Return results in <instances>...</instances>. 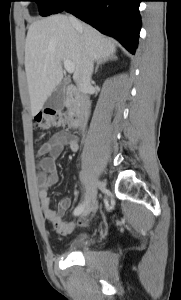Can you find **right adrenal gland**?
I'll return each mask as SVG.
<instances>
[{
	"label": "right adrenal gland",
	"instance_id": "right-adrenal-gland-1",
	"mask_svg": "<svg viewBox=\"0 0 181 300\" xmlns=\"http://www.w3.org/2000/svg\"><path fill=\"white\" fill-rule=\"evenodd\" d=\"M110 59H116V57L112 56V57H110ZM107 60L108 59H103V60H100V61L97 62V65H96V68H95V72H94L95 74L97 73L100 65H102L103 63H105Z\"/></svg>",
	"mask_w": 181,
	"mask_h": 300
}]
</instances>
